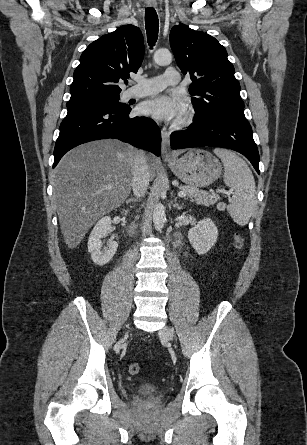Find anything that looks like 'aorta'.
<instances>
[{
    "label": "aorta",
    "mask_w": 307,
    "mask_h": 445,
    "mask_svg": "<svg viewBox=\"0 0 307 445\" xmlns=\"http://www.w3.org/2000/svg\"><path fill=\"white\" fill-rule=\"evenodd\" d=\"M156 64H171L172 62V54L168 48H159V50H155L153 56ZM166 208L162 202H158L153 210V223L156 231H162L165 223H166Z\"/></svg>",
    "instance_id": "762f6f07"
}]
</instances>
